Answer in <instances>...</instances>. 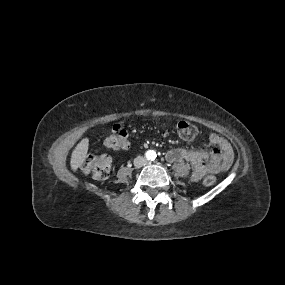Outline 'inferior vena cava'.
Returning a JSON list of instances; mask_svg holds the SVG:
<instances>
[{
  "mask_svg": "<svg viewBox=\"0 0 285 285\" xmlns=\"http://www.w3.org/2000/svg\"><path fill=\"white\" fill-rule=\"evenodd\" d=\"M145 163H146V159H145V157H143V156H137V157L134 159V165H135L136 167H141V166L145 165Z\"/></svg>",
  "mask_w": 285,
  "mask_h": 285,
  "instance_id": "obj_1",
  "label": "inferior vena cava"
}]
</instances>
